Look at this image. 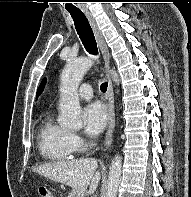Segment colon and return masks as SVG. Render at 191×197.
<instances>
[{
	"label": "colon",
	"mask_w": 191,
	"mask_h": 197,
	"mask_svg": "<svg viewBox=\"0 0 191 197\" xmlns=\"http://www.w3.org/2000/svg\"><path fill=\"white\" fill-rule=\"evenodd\" d=\"M38 194L40 197H53L52 192L45 186L40 185L38 187Z\"/></svg>",
	"instance_id": "obj_1"
}]
</instances>
